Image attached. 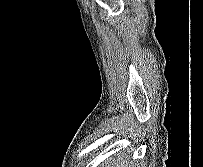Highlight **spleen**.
<instances>
[{
    "instance_id": "3e777b00",
    "label": "spleen",
    "mask_w": 203,
    "mask_h": 167,
    "mask_svg": "<svg viewBox=\"0 0 203 167\" xmlns=\"http://www.w3.org/2000/svg\"><path fill=\"white\" fill-rule=\"evenodd\" d=\"M119 163V162H118ZM120 164V163H119ZM118 167H125V166H121V165H119Z\"/></svg>"
}]
</instances>
